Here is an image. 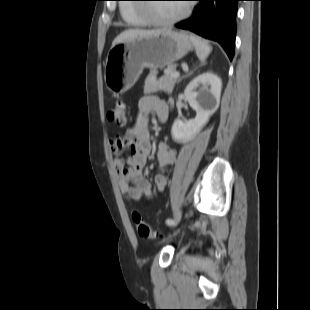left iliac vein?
Returning <instances> with one entry per match:
<instances>
[{
	"mask_svg": "<svg viewBox=\"0 0 310 310\" xmlns=\"http://www.w3.org/2000/svg\"><path fill=\"white\" fill-rule=\"evenodd\" d=\"M181 220V212L179 211L178 213H176L174 220H173V224L170 226H177V224L180 222Z\"/></svg>",
	"mask_w": 310,
	"mask_h": 310,
	"instance_id": "left-iliac-vein-1",
	"label": "left iliac vein"
}]
</instances>
